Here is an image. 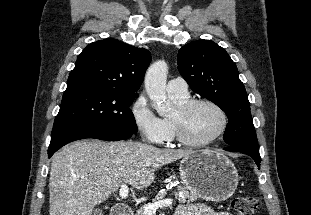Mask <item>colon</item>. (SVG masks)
I'll return each instance as SVG.
<instances>
[{
  "mask_svg": "<svg viewBox=\"0 0 311 215\" xmlns=\"http://www.w3.org/2000/svg\"><path fill=\"white\" fill-rule=\"evenodd\" d=\"M231 207L238 215H254L258 200L255 197L239 196L232 200Z\"/></svg>",
  "mask_w": 311,
  "mask_h": 215,
  "instance_id": "1",
  "label": "colon"
}]
</instances>
